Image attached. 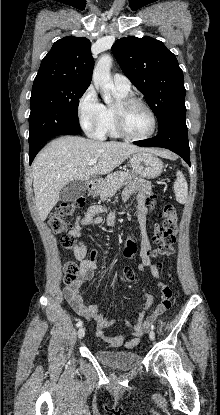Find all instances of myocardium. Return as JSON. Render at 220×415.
Segmentation results:
<instances>
[{
	"label": "myocardium",
	"instance_id": "1",
	"mask_svg": "<svg viewBox=\"0 0 220 415\" xmlns=\"http://www.w3.org/2000/svg\"><path fill=\"white\" fill-rule=\"evenodd\" d=\"M132 106H140L144 108L150 115L152 120L151 130L143 136H133L129 134L124 126V111ZM114 125L119 136L131 141H143L151 138L157 129V117L154 110L142 100L136 98L120 99L117 105L113 108Z\"/></svg>",
	"mask_w": 220,
	"mask_h": 415
}]
</instances>
